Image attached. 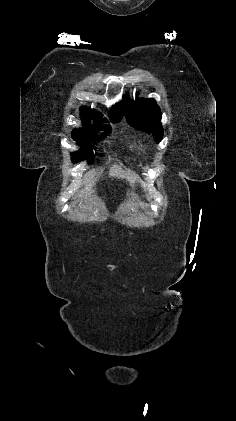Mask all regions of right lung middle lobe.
Masks as SVG:
<instances>
[{
	"label": "right lung middle lobe",
	"mask_w": 236,
	"mask_h": 421,
	"mask_svg": "<svg viewBox=\"0 0 236 421\" xmlns=\"http://www.w3.org/2000/svg\"><path fill=\"white\" fill-rule=\"evenodd\" d=\"M124 112L123 111H114L111 110V119L113 123L119 122L121 118L123 117ZM81 116H82V122L84 127L82 129H75L72 133V137L74 140L80 142V144L83 147V152H78L72 154V160L74 162L88 159L89 161L92 160L93 155H90V147H91V140L96 139L97 137L93 136V133L95 132L94 125L90 123L91 117H94L95 119V126L97 129H103L106 132L105 135L108 134V132L111 130L110 126L98 123L101 121H104L101 119V116L97 113L91 111V110H81Z\"/></svg>",
	"instance_id": "obj_1"
}]
</instances>
